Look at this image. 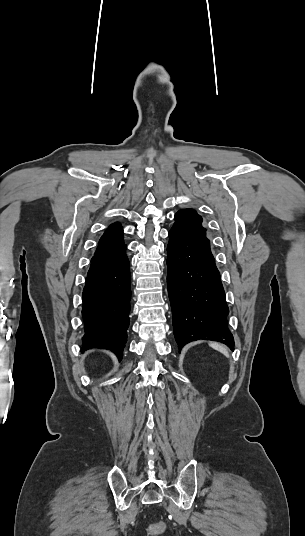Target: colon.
<instances>
[{"instance_id": "1", "label": "colon", "mask_w": 305, "mask_h": 536, "mask_svg": "<svg viewBox=\"0 0 305 536\" xmlns=\"http://www.w3.org/2000/svg\"><path fill=\"white\" fill-rule=\"evenodd\" d=\"M164 531V525L163 523L156 522L153 523L149 530H148V536H160Z\"/></svg>"}]
</instances>
